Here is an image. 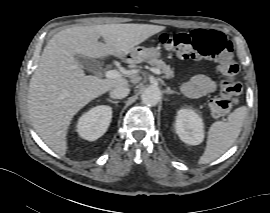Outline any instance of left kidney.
<instances>
[{"label": "left kidney", "instance_id": "left-kidney-1", "mask_svg": "<svg viewBox=\"0 0 270 213\" xmlns=\"http://www.w3.org/2000/svg\"><path fill=\"white\" fill-rule=\"evenodd\" d=\"M175 130L179 138L189 145H198L204 139L203 120L191 109H180L177 112Z\"/></svg>", "mask_w": 270, "mask_h": 213}]
</instances>
